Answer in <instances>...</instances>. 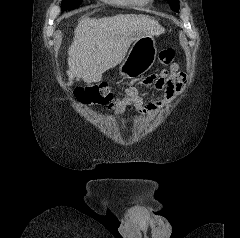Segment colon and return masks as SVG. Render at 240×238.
Returning <instances> with one entry per match:
<instances>
[{
    "instance_id": "obj_1",
    "label": "colon",
    "mask_w": 240,
    "mask_h": 238,
    "mask_svg": "<svg viewBox=\"0 0 240 238\" xmlns=\"http://www.w3.org/2000/svg\"><path fill=\"white\" fill-rule=\"evenodd\" d=\"M175 59V51L171 48L163 49L159 53L162 64H170ZM75 97L82 104H106L113 98L111 87L107 83L81 86L75 89Z\"/></svg>"
}]
</instances>
